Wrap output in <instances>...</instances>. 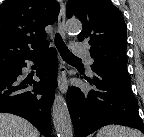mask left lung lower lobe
Returning a JSON list of instances; mask_svg holds the SVG:
<instances>
[{
  "instance_id": "1",
  "label": "left lung lower lobe",
  "mask_w": 144,
  "mask_h": 137,
  "mask_svg": "<svg viewBox=\"0 0 144 137\" xmlns=\"http://www.w3.org/2000/svg\"><path fill=\"white\" fill-rule=\"evenodd\" d=\"M92 78L84 77L94 89L69 87L67 105L75 136L86 137L108 124L124 125L144 133L131 79L104 69H93Z\"/></svg>"
}]
</instances>
